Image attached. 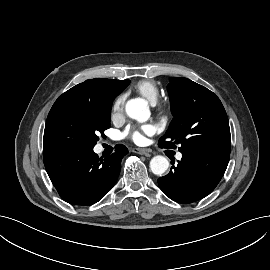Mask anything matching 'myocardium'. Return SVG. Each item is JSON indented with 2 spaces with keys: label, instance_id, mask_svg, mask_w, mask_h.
<instances>
[{
  "label": "myocardium",
  "instance_id": "1",
  "mask_svg": "<svg viewBox=\"0 0 270 270\" xmlns=\"http://www.w3.org/2000/svg\"><path fill=\"white\" fill-rule=\"evenodd\" d=\"M158 111L162 114V115H166L168 113V106L165 103H160L158 105Z\"/></svg>",
  "mask_w": 270,
  "mask_h": 270
}]
</instances>
